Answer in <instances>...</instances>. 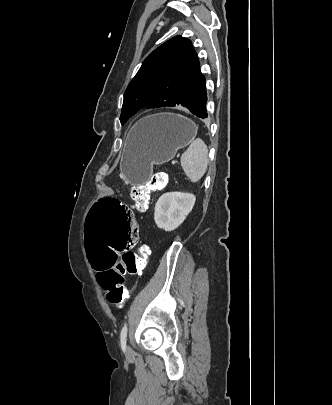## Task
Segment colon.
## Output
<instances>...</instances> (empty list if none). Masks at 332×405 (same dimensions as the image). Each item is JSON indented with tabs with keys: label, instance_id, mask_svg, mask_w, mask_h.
Listing matches in <instances>:
<instances>
[{
	"label": "colon",
	"instance_id": "1",
	"mask_svg": "<svg viewBox=\"0 0 332 405\" xmlns=\"http://www.w3.org/2000/svg\"><path fill=\"white\" fill-rule=\"evenodd\" d=\"M167 184L168 176L156 173L147 182L134 186L130 196L135 208L145 210L150 192ZM92 210L88 213L86 229L88 267L98 273L107 301L121 307L128 295L126 275L145 270L148 248L142 245L136 251H129L135 249L141 231L136 227L135 213L120 197H101L99 202L92 203Z\"/></svg>",
	"mask_w": 332,
	"mask_h": 405
}]
</instances>
